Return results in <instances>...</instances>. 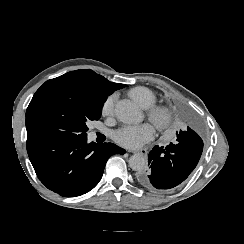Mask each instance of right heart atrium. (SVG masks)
<instances>
[{
	"label": "right heart atrium",
	"mask_w": 244,
	"mask_h": 244,
	"mask_svg": "<svg viewBox=\"0 0 244 244\" xmlns=\"http://www.w3.org/2000/svg\"><path fill=\"white\" fill-rule=\"evenodd\" d=\"M117 102V94L113 93L106 98L102 107V115L104 117H110L114 113V106Z\"/></svg>",
	"instance_id": "obj_1"
}]
</instances>
